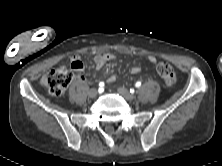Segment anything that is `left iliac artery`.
<instances>
[{
	"label": "left iliac artery",
	"instance_id": "obj_1",
	"mask_svg": "<svg viewBox=\"0 0 222 166\" xmlns=\"http://www.w3.org/2000/svg\"><path fill=\"white\" fill-rule=\"evenodd\" d=\"M140 86H141V82L140 81L136 82L135 87H140Z\"/></svg>",
	"mask_w": 222,
	"mask_h": 166
}]
</instances>
